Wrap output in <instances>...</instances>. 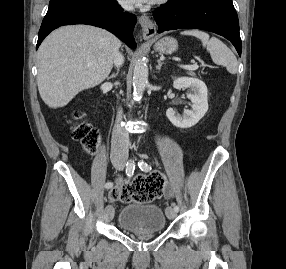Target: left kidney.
I'll use <instances>...</instances> for the list:
<instances>
[{"label":"left kidney","mask_w":286,"mask_h":269,"mask_svg":"<svg viewBox=\"0 0 286 269\" xmlns=\"http://www.w3.org/2000/svg\"><path fill=\"white\" fill-rule=\"evenodd\" d=\"M174 88H190L192 93L187 97L192 102L191 110H184L183 114L176 113L173 108H168L166 116L170 122L179 128H190L197 124L208 110V91L205 83L196 78L180 77L173 83Z\"/></svg>","instance_id":"5707ae66"}]
</instances>
